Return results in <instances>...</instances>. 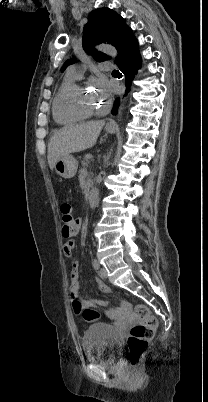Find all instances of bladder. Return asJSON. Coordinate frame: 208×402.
I'll use <instances>...</instances> for the list:
<instances>
[{
    "mask_svg": "<svg viewBox=\"0 0 208 402\" xmlns=\"http://www.w3.org/2000/svg\"><path fill=\"white\" fill-rule=\"evenodd\" d=\"M121 341L120 334L112 325H90L86 329L83 341L85 358L103 366L113 364Z\"/></svg>",
    "mask_w": 208,
    "mask_h": 402,
    "instance_id": "1",
    "label": "bladder"
}]
</instances>
